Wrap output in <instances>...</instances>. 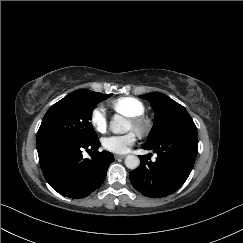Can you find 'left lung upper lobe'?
Wrapping results in <instances>:
<instances>
[{"label":"left lung upper lobe","mask_w":243,"mask_h":243,"mask_svg":"<svg viewBox=\"0 0 243 243\" xmlns=\"http://www.w3.org/2000/svg\"><path fill=\"white\" fill-rule=\"evenodd\" d=\"M140 97L148 100L155 110L154 125L145 144L154 145L186 132L197 131L187 110L167 95L152 92Z\"/></svg>","instance_id":"5c2ea615"}]
</instances>
